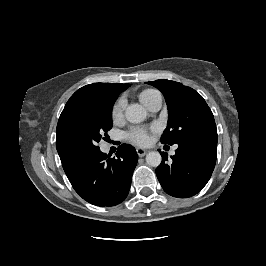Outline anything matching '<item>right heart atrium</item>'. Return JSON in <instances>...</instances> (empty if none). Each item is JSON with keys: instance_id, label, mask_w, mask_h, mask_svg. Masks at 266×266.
I'll return each mask as SVG.
<instances>
[{"instance_id": "right-heart-atrium-1", "label": "right heart atrium", "mask_w": 266, "mask_h": 266, "mask_svg": "<svg viewBox=\"0 0 266 266\" xmlns=\"http://www.w3.org/2000/svg\"><path fill=\"white\" fill-rule=\"evenodd\" d=\"M125 102L124 99H119L113 107L112 116L114 119H120L123 116Z\"/></svg>"}]
</instances>
